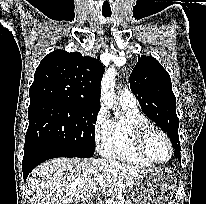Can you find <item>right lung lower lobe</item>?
I'll return each mask as SVG.
<instances>
[{"mask_svg":"<svg viewBox=\"0 0 206 204\" xmlns=\"http://www.w3.org/2000/svg\"><path fill=\"white\" fill-rule=\"evenodd\" d=\"M56 157H68V154L58 148L51 146H36L28 150H24L22 161V169L24 181H26L29 173L40 163Z\"/></svg>","mask_w":206,"mask_h":204,"instance_id":"98d812e1","label":"right lung lower lobe"}]
</instances>
